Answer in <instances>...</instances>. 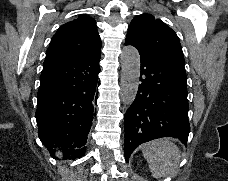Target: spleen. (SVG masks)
<instances>
[{
	"mask_svg": "<svg viewBox=\"0 0 228 181\" xmlns=\"http://www.w3.org/2000/svg\"><path fill=\"white\" fill-rule=\"evenodd\" d=\"M142 153L155 177H176L180 163V151L171 139H156L142 145Z\"/></svg>",
	"mask_w": 228,
	"mask_h": 181,
	"instance_id": "3e777b00",
	"label": "spleen"
}]
</instances>
